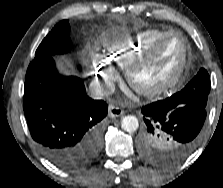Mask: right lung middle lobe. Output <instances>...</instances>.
Masks as SVG:
<instances>
[{"label":"right lung middle lobe","instance_id":"1","mask_svg":"<svg viewBox=\"0 0 223 188\" xmlns=\"http://www.w3.org/2000/svg\"><path fill=\"white\" fill-rule=\"evenodd\" d=\"M70 26L67 20L59 22L43 39L36 50L34 60L67 53L70 50Z\"/></svg>","mask_w":223,"mask_h":188}]
</instances>
